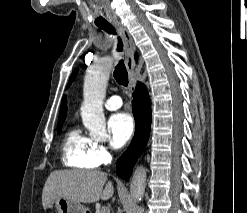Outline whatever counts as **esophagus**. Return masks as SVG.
Masks as SVG:
<instances>
[{
  "instance_id": "1",
  "label": "esophagus",
  "mask_w": 247,
  "mask_h": 213,
  "mask_svg": "<svg viewBox=\"0 0 247 213\" xmlns=\"http://www.w3.org/2000/svg\"><path fill=\"white\" fill-rule=\"evenodd\" d=\"M114 26L118 30L119 34L121 35V38L124 43V49H125V65L127 68V71L129 73L130 77V84L132 87H135L136 80L134 78V72H135V45L133 42V39L128 32L127 28L124 27L120 22H115Z\"/></svg>"
}]
</instances>
